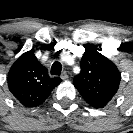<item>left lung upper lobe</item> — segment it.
Masks as SVG:
<instances>
[{
  "label": "left lung upper lobe",
  "mask_w": 133,
  "mask_h": 133,
  "mask_svg": "<svg viewBox=\"0 0 133 133\" xmlns=\"http://www.w3.org/2000/svg\"><path fill=\"white\" fill-rule=\"evenodd\" d=\"M81 72L73 79L79 93L94 108H103L115 96L121 76L116 65L94 46H85Z\"/></svg>",
  "instance_id": "5c2ea615"
}]
</instances>
